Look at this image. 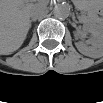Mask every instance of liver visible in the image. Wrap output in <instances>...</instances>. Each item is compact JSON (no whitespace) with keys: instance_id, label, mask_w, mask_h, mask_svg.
Wrapping results in <instances>:
<instances>
[{"instance_id":"6515ba94","label":"liver","mask_w":103,"mask_h":103,"mask_svg":"<svg viewBox=\"0 0 103 103\" xmlns=\"http://www.w3.org/2000/svg\"><path fill=\"white\" fill-rule=\"evenodd\" d=\"M36 5L21 0L1 2V40L2 55H9L23 44L29 31L30 12Z\"/></svg>"}]
</instances>
